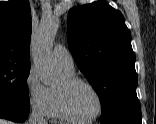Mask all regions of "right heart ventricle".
Segmentation results:
<instances>
[{
    "label": "right heart ventricle",
    "instance_id": "e07e8e85",
    "mask_svg": "<svg viewBox=\"0 0 156 124\" xmlns=\"http://www.w3.org/2000/svg\"><path fill=\"white\" fill-rule=\"evenodd\" d=\"M65 74L68 76H74V71H67L65 70ZM51 91V96H52V111H51V116L53 118L62 120V121H66V119L63 117V115L60 112L59 106H58V102H57V96H56V91L55 88H50Z\"/></svg>",
    "mask_w": 156,
    "mask_h": 124
}]
</instances>
